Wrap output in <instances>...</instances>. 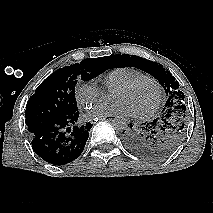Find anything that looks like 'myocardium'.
<instances>
[{"instance_id":"1","label":"myocardium","mask_w":213,"mask_h":213,"mask_svg":"<svg viewBox=\"0 0 213 213\" xmlns=\"http://www.w3.org/2000/svg\"><path fill=\"white\" fill-rule=\"evenodd\" d=\"M144 82H151L155 85V87L157 89V97H156L155 103L153 104V106L150 109H148L144 112H141V113H133V117L136 119L148 118L159 110L161 102H162V98H163V88H162L161 83L152 76H143V77L134 79L128 83H125L115 89V90H129Z\"/></svg>"}]
</instances>
